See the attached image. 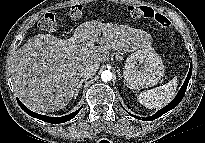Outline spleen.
Returning <instances> with one entry per match:
<instances>
[{
    "instance_id": "3e777b00",
    "label": "spleen",
    "mask_w": 205,
    "mask_h": 143,
    "mask_svg": "<svg viewBox=\"0 0 205 143\" xmlns=\"http://www.w3.org/2000/svg\"><path fill=\"white\" fill-rule=\"evenodd\" d=\"M178 80L174 77L168 83L138 95V101L149 109H160L167 105L175 95Z\"/></svg>"
}]
</instances>
